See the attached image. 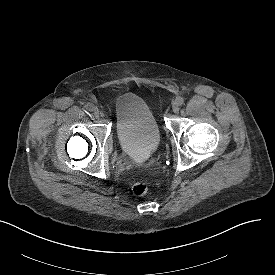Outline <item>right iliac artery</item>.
<instances>
[{
  "mask_svg": "<svg viewBox=\"0 0 275 275\" xmlns=\"http://www.w3.org/2000/svg\"><path fill=\"white\" fill-rule=\"evenodd\" d=\"M87 111H92L93 110V105L91 103H88L86 106Z\"/></svg>",
  "mask_w": 275,
  "mask_h": 275,
  "instance_id": "82829eb1",
  "label": "right iliac artery"
}]
</instances>
